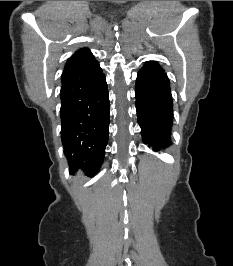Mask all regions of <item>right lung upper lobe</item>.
I'll return each instance as SVG.
<instances>
[{
  "label": "right lung upper lobe",
  "mask_w": 233,
  "mask_h": 266,
  "mask_svg": "<svg viewBox=\"0 0 233 266\" xmlns=\"http://www.w3.org/2000/svg\"><path fill=\"white\" fill-rule=\"evenodd\" d=\"M92 56L93 55L91 54L89 49H79L71 58L67 60L63 74L77 68Z\"/></svg>",
  "instance_id": "right-lung-upper-lobe-1"
}]
</instances>
